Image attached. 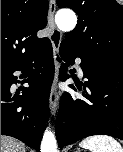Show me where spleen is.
I'll return each mask as SVG.
<instances>
[{"label": "spleen", "mask_w": 123, "mask_h": 152, "mask_svg": "<svg viewBox=\"0 0 123 152\" xmlns=\"http://www.w3.org/2000/svg\"><path fill=\"white\" fill-rule=\"evenodd\" d=\"M80 147L89 149L91 152H123L119 142L108 135H94L80 142Z\"/></svg>", "instance_id": "3e777b00"}]
</instances>
